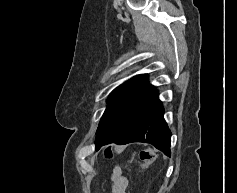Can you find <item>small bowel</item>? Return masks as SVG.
I'll return each mask as SVG.
<instances>
[{"label":"small bowel","mask_w":237,"mask_h":193,"mask_svg":"<svg viewBox=\"0 0 237 193\" xmlns=\"http://www.w3.org/2000/svg\"><path fill=\"white\" fill-rule=\"evenodd\" d=\"M129 181L118 167H115L110 180V193H126Z\"/></svg>","instance_id":"small-bowel-1"}]
</instances>
